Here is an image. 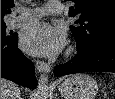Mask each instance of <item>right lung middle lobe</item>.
Here are the masks:
<instances>
[{
    "label": "right lung middle lobe",
    "mask_w": 115,
    "mask_h": 99,
    "mask_svg": "<svg viewBox=\"0 0 115 99\" xmlns=\"http://www.w3.org/2000/svg\"><path fill=\"white\" fill-rule=\"evenodd\" d=\"M6 24L5 22H1V41L9 39L11 36L6 35Z\"/></svg>",
    "instance_id": "right-lung-middle-lobe-1"
}]
</instances>
